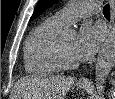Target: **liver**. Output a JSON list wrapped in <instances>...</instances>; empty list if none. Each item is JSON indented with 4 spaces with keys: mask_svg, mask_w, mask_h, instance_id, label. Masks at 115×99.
Wrapping results in <instances>:
<instances>
[{
    "mask_svg": "<svg viewBox=\"0 0 115 99\" xmlns=\"http://www.w3.org/2000/svg\"><path fill=\"white\" fill-rule=\"evenodd\" d=\"M74 79L61 76L21 78L15 84L17 99H64Z\"/></svg>",
    "mask_w": 115,
    "mask_h": 99,
    "instance_id": "6515ba94",
    "label": "liver"
}]
</instances>
